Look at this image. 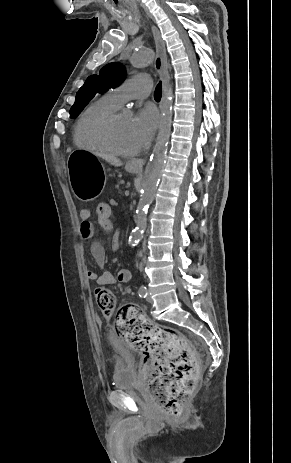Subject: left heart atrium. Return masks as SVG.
<instances>
[{
  "mask_svg": "<svg viewBox=\"0 0 291 463\" xmlns=\"http://www.w3.org/2000/svg\"><path fill=\"white\" fill-rule=\"evenodd\" d=\"M158 123V114L152 107H145L138 111L132 119V130L140 147L150 142Z\"/></svg>",
  "mask_w": 291,
  "mask_h": 463,
  "instance_id": "obj_1",
  "label": "left heart atrium"
}]
</instances>
